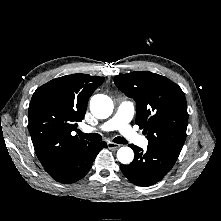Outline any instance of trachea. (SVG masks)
<instances>
[{"label":"trachea","mask_w":221,"mask_h":221,"mask_svg":"<svg viewBox=\"0 0 221 221\" xmlns=\"http://www.w3.org/2000/svg\"><path fill=\"white\" fill-rule=\"evenodd\" d=\"M79 136L80 138H84L87 139L89 141L92 142H99L102 140L101 135L97 134V133H91V134H85L83 132H79ZM113 142L118 143V144H127L128 142L122 138V137H116L113 139Z\"/></svg>","instance_id":"trachea-1"}]
</instances>
